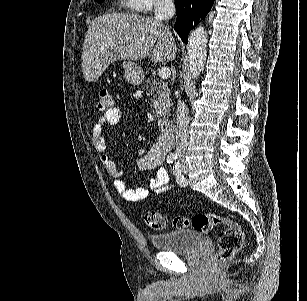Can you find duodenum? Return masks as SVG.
<instances>
[{
    "label": "duodenum",
    "mask_w": 307,
    "mask_h": 301,
    "mask_svg": "<svg viewBox=\"0 0 307 301\" xmlns=\"http://www.w3.org/2000/svg\"><path fill=\"white\" fill-rule=\"evenodd\" d=\"M159 129L167 134H171L176 129V122L172 117L166 116L158 121Z\"/></svg>",
    "instance_id": "410a0bca"
}]
</instances>
